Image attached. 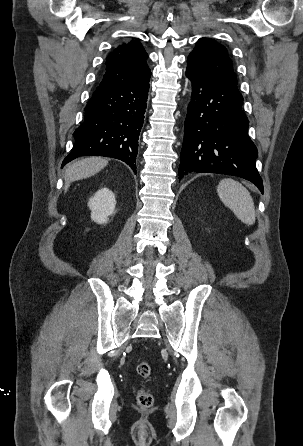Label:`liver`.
<instances>
[{
  "mask_svg": "<svg viewBox=\"0 0 303 446\" xmlns=\"http://www.w3.org/2000/svg\"><path fill=\"white\" fill-rule=\"evenodd\" d=\"M107 164L108 160L101 157H87L69 164L64 175L65 191L72 182L95 175Z\"/></svg>",
  "mask_w": 303,
  "mask_h": 446,
  "instance_id": "1",
  "label": "liver"
}]
</instances>
